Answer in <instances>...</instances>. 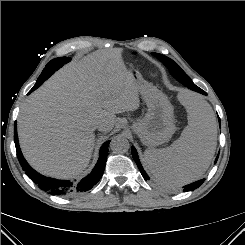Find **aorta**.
<instances>
[{
	"label": "aorta",
	"instance_id": "obj_1",
	"mask_svg": "<svg viewBox=\"0 0 245 245\" xmlns=\"http://www.w3.org/2000/svg\"><path fill=\"white\" fill-rule=\"evenodd\" d=\"M129 147V141L121 135L115 136L110 143L111 150L118 154L126 153Z\"/></svg>",
	"mask_w": 245,
	"mask_h": 245
}]
</instances>
